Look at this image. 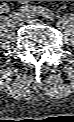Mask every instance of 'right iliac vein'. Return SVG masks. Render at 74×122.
<instances>
[{
    "label": "right iliac vein",
    "instance_id": "63e3f726",
    "mask_svg": "<svg viewBox=\"0 0 74 122\" xmlns=\"http://www.w3.org/2000/svg\"><path fill=\"white\" fill-rule=\"evenodd\" d=\"M12 21L16 26H21L23 23V19L19 14H15L12 16Z\"/></svg>",
    "mask_w": 74,
    "mask_h": 122
}]
</instances>
